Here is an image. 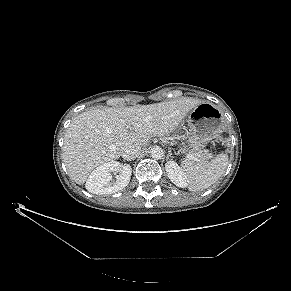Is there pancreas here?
<instances>
[{
    "instance_id": "1",
    "label": "pancreas",
    "mask_w": 291,
    "mask_h": 291,
    "mask_svg": "<svg viewBox=\"0 0 291 291\" xmlns=\"http://www.w3.org/2000/svg\"><path fill=\"white\" fill-rule=\"evenodd\" d=\"M181 150L184 152L187 151V148H182ZM190 153L197 158L196 162L201 165H206L211 158V154L207 150L193 149L190 151Z\"/></svg>"
}]
</instances>
